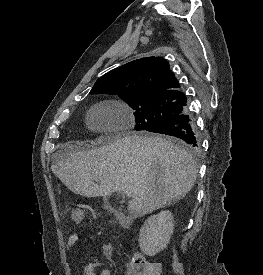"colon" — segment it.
Masks as SVG:
<instances>
[{"mask_svg":"<svg viewBox=\"0 0 263 275\" xmlns=\"http://www.w3.org/2000/svg\"><path fill=\"white\" fill-rule=\"evenodd\" d=\"M84 217V213L79 208H74L70 210V218L73 222L79 223L82 221ZM137 269H139L143 275H155L156 274V266L150 262H148L145 257L140 253H135L132 262Z\"/></svg>","mask_w":263,"mask_h":275,"instance_id":"1","label":"colon"}]
</instances>
